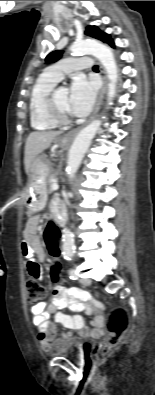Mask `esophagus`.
<instances>
[{
    "label": "esophagus",
    "mask_w": 155,
    "mask_h": 395,
    "mask_svg": "<svg viewBox=\"0 0 155 395\" xmlns=\"http://www.w3.org/2000/svg\"><path fill=\"white\" fill-rule=\"evenodd\" d=\"M99 70H100V73H101V76H102V88H101L100 93H99V95H98V98H97V102H96L94 111H93L91 117L89 118L88 122H90V121L95 117V115L97 114V112H98V110H99V108H100V105H101V103H102L104 94H105V92H106V88H107V80H106L105 71H104V69H103V67H102L101 65L99 66ZM79 129H80V128L75 129V130H73V131L67 133V134L64 136V139H65V140H72V139L76 136V134L78 133Z\"/></svg>",
    "instance_id": "34e87169"
}]
</instances>
